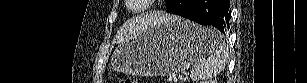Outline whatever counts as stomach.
I'll use <instances>...</instances> for the list:
<instances>
[{
	"label": "stomach",
	"instance_id": "stomach-1",
	"mask_svg": "<svg viewBox=\"0 0 307 83\" xmlns=\"http://www.w3.org/2000/svg\"><path fill=\"white\" fill-rule=\"evenodd\" d=\"M208 28L172 16L120 44L111 56L119 72L138 76H169L187 70L213 49Z\"/></svg>",
	"mask_w": 307,
	"mask_h": 83
}]
</instances>
